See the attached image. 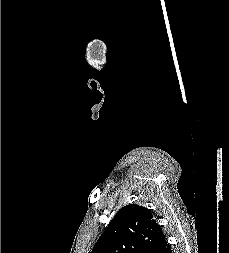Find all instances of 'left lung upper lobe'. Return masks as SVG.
<instances>
[{"label": "left lung upper lobe", "instance_id": "left-lung-upper-lobe-1", "mask_svg": "<svg viewBox=\"0 0 229 253\" xmlns=\"http://www.w3.org/2000/svg\"><path fill=\"white\" fill-rule=\"evenodd\" d=\"M164 238L151 211L130 204L117 212L91 253H155Z\"/></svg>", "mask_w": 229, "mask_h": 253}]
</instances>
